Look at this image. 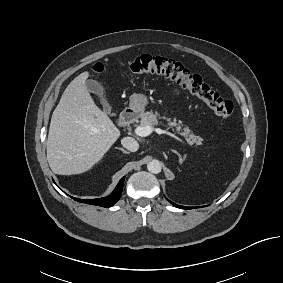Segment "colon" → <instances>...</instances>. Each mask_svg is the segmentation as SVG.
I'll list each match as a JSON object with an SVG mask.
<instances>
[{
  "instance_id": "obj_1",
  "label": "colon",
  "mask_w": 283,
  "mask_h": 283,
  "mask_svg": "<svg viewBox=\"0 0 283 283\" xmlns=\"http://www.w3.org/2000/svg\"><path fill=\"white\" fill-rule=\"evenodd\" d=\"M93 69L99 70L100 66L95 65ZM129 70L133 74L156 73L170 78L201 99L216 115L222 118H229L234 112V105L231 101L222 98L200 76L192 74L177 61L158 56L142 55L130 62Z\"/></svg>"
}]
</instances>
